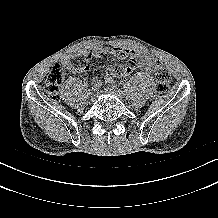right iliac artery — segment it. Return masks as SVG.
Listing matches in <instances>:
<instances>
[{
	"instance_id": "right-iliac-artery-1",
	"label": "right iliac artery",
	"mask_w": 218,
	"mask_h": 218,
	"mask_svg": "<svg viewBox=\"0 0 218 218\" xmlns=\"http://www.w3.org/2000/svg\"><path fill=\"white\" fill-rule=\"evenodd\" d=\"M101 87V82L100 81H93L92 85V91H98L99 88Z\"/></svg>"
}]
</instances>
